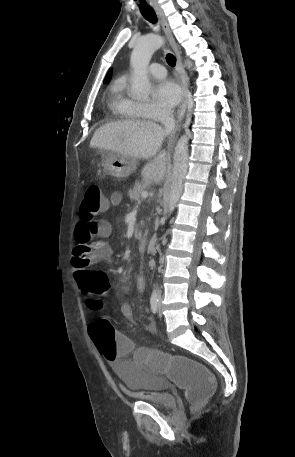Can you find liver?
I'll list each match as a JSON object with an SVG mask.
<instances>
[{
	"label": "liver",
	"mask_w": 295,
	"mask_h": 457,
	"mask_svg": "<svg viewBox=\"0 0 295 457\" xmlns=\"http://www.w3.org/2000/svg\"><path fill=\"white\" fill-rule=\"evenodd\" d=\"M166 130L151 121H118L105 124L96 130L90 147L111 151L135 159H146L142 169L146 183L160 184L166 171V151H159Z\"/></svg>",
	"instance_id": "obj_1"
}]
</instances>
